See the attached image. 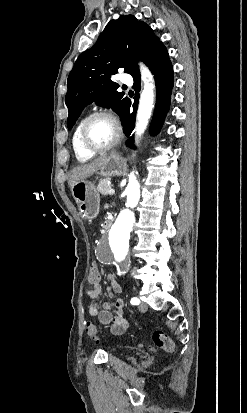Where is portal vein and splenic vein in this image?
<instances>
[{
	"label": "portal vein and splenic vein",
	"mask_w": 247,
	"mask_h": 413,
	"mask_svg": "<svg viewBox=\"0 0 247 413\" xmlns=\"http://www.w3.org/2000/svg\"><path fill=\"white\" fill-rule=\"evenodd\" d=\"M115 190L114 188H110V190H108V194H114Z\"/></svg>",
	"instance_id": "portal-vein-and-splenic-vein-1"
}]
</instances>
